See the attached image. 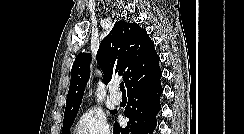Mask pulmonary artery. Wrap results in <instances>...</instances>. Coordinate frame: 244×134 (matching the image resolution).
Listing matches in <instances>:
<instances>
[{
    "label": "pulmonary artery",
    "instance_id": "1",
    "mask_svg": "<svg viewBox=\"0 0 244 134\" xmlns=\"http://www.w3.org/2000/svg\"><path fill=\"white\" fill-rule=\"evenodd\" d=\"M117 90L118 87L116 85L112 86L110 90V100L115 105L120 104L122 101L121 95L118 93Z\"/></svg>",
    "mask_w": 244,
    "mask_h": 134
}]
</instances>
